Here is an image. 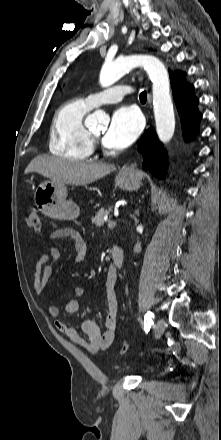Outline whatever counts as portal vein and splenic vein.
I'll return each mask as SVG.
<instances>
[{
	"label": "portal vein and splenic vein",
	"mask_w": 221,
	"mask_h": 440,
	"mask_svg": "<svg viewBox=\"0 0 221 440\" xmlns=\"http://www.w3.org/2000/svg\"><path fill=\"white\" fill-rule=\"evenodd\" d=\"M116 226V221H109L108 222V227L109 228H113V227H115Z\"/></svg>",
	"instance_id": "1"
}]
</instances>
